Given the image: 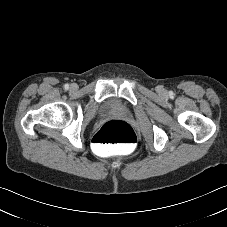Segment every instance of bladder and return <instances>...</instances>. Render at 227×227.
I'll return each mask as SVG.
<instances>
[{
	"label": "bladder",
	"instance_id": "31cf9c89",
	"mask_svg": "<svg viewBox=\"0 0 227 227\" xmlns=\"http://www.w3.org/2000/svg\"><path fill=\"white\" fill-rule=\"evenodd\" d=\"M100 112L103 114H114L122 112V104L117 98H110L100 107Z\"/></svg>",
	"mask_w": 227,
	"mask_h": 227
}]
</instances>
